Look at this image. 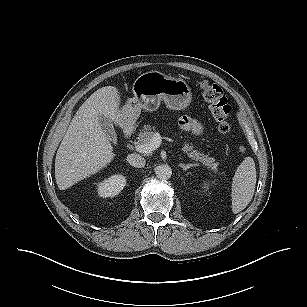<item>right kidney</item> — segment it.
<instances>
[{
  "label": "right kidney",
  "mask_w": 307,
  "mask_h": 307,
  "mask_svg": "<svg viewBox=\"0 0 307 307\" xmlns=\"http://www.w3.org/2000/svg\"><path fill=\"white\" fill-rule=\"evenodd\" d=\"M125 185L126 178L123 175H112L98 184V195L103 198L114 197L123 190Z\"/></svg>",
  "instance_id": "obj_1"
}]
</instances>
